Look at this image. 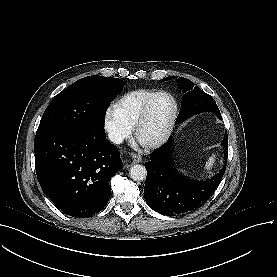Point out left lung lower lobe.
<instances>
[{"instance_id":"1","label":"left lung lower lobe","mask_w":277,"mask_h":277,"mask_svg":"<svg viewBox=\"0 0 277 277\" xmlns=\"http://www.w3.org/2000/svg\"><path fill=\"white\" fill-rule=\"evenodd\" d=\"M172 142L170 138L162 147L155 150L150 156V161L145 163L147 170L144 188L145 201L154 211L167 216L189 212L206 202L224 175L228 152L226 132L222 142L225 149L223 168L207 181H194L181 176L172 167Z\"/></svg>"}]
</instances>
